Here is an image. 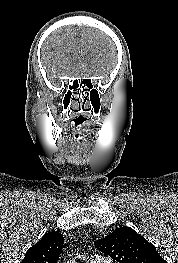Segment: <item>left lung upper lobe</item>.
Masks as SVG:
<instances>
[{
  "label": "left lung upper lobe",
  "instance_id": "1",
  "mask_svg": "<svg viewBox=\"0 0 178 263\" xmlns=\"http://www.w3.org/2000/svg\"><path fill=\"white\" fill-rule=\"evenodd\" d=\"M94 244L119 263H167L153 244L129 227H121Z\"/></svg>",
  "mask_w": 178,
  "mask_h": 263
}]
</instances>
